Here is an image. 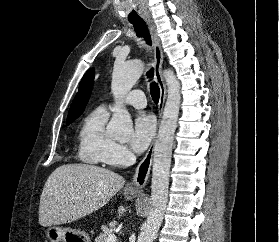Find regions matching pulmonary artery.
Returning <instances> with one entry per match:
<instances>
[{
  "label": "pulmonary artery",
  "mask_w": 279,
  "mask_h": 242,
  "mask_svg": "<svg viewBox=\"0 0 279 242\" xmlns=\"http://www.w3.org/2000/svg\"><path fill=\"white\" fill-rule=\"evenodd\" d=\"M125 104L131 105L135 108H144L147 104L146 97L143 91L134 90L124 98ZM113 108V105H111Z\"/></svg>",
  "instance_id": "1"
}]
</instances>
